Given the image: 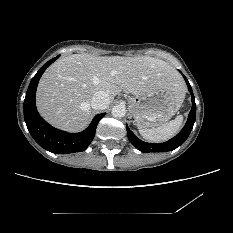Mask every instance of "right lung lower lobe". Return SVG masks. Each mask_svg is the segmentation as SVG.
Wrapping results in <instances>:
<instances>
[{
  "label": "right lung lower lobe",
  "instance_id": "1",
  "mask_svg": "<svg viewBox=\"0 0 233 233\" xmlns=\"http://www.w3.org/2000/svg\"><path fill=\"white\" fill-rule=\"evenodd\" d=\"M58 57L45 63L32 78L24 100V120L31 136L42 148L56 154L81 152L92 142L98 122L106 113L96 115L83 132L67 133L49 125L36 109L35 94L38 82L44 71Z\"/></svg>",
  "mask_w": 233,
  "mask_h": 233
}]
</instances>
